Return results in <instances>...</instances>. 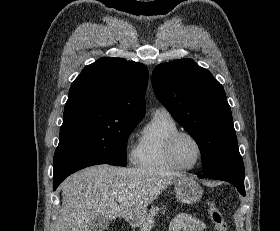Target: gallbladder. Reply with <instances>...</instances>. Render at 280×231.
Here are the masks:
<instances>
[{
    "label": "gallbladder",
    "instance_id": "obj_1",
    "mask_svg": "<svg viewBox=\"0 0 280 231\" xmlns=\"http://www.w3.org/2000/svg\"><path fill=\"white\" fill-rule=\"evenodd\" d=\"M110 225L109 219H106V217H101V215H97L91 223L88 225V231H103V229H106Z\"/></svg>",
    "mask_w": 280,
    "mask_h": 231
}]
</instances>
